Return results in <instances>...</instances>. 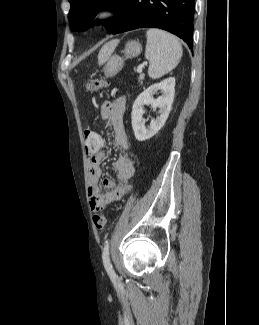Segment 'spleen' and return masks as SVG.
Segmentation results:
<instances>
[{"label":"spleen","mask_w":259,"mask_h":325,"mask_svg":"<svg viewBox=\"0 0 259 325\" xmlns=\"http://www.w3.org/2000/svg\"><path fill=\"white\" fill-rule=\"evenodd\" d=\"M145 58L149 61L148 75L158 79L173 70L182 57L178 38L161 29L151 28L146 32Z\"/></svg>","instance_id":"3e777b00"}]
</instances>
